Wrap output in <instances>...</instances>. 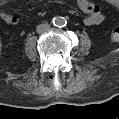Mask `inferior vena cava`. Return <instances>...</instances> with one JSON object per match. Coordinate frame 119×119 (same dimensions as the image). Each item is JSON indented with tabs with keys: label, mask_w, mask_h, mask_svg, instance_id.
<instances>
[{
	"label": "inferior vena cava",
	"mask_w": 119,
	"mask_h": 119,
	"mask_svg": "<svg viewBox=\"0 0 119 119\" xmlns=\"http://www.w3.org/2000/svg\"><path fill=\"white\" fill-rule=\"evenodd\" d=\"M50 30V25L48 23H42L40 25L37 26V33H45L48 32Z\"/></svg>",
	"instance_id": "602c4592"
}]
</instances>
